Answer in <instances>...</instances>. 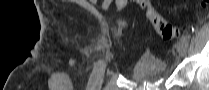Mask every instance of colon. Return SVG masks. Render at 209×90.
Instances as JSON below:
<instances>
[{
	"instance_id": "5ec220e1",
	"label": "colon",
	"mask_w": 209,
	"mask_h": 90,
	"mask_svg": "<svg viewBox=\"0 0 209 90\" xmlns=\"http://www.w3.org/2000/svg\"><path fill=\"white\" fill-rule=\"evenodd\" d=\"M126 0L116 1L117 7L120 8L125 4ZM140 6L145 10L147 17L151 21L153 27L159 33V35L166 41L176 40L180 33L181 29L174 27L168 23L153 7L150 0H138ZM209 7V0H202L200 2V10L195 15V20L200 21L203 17L204 11ZM122 27H125L124 22L121 23Z\"/></svg>"
}]
</instances>
